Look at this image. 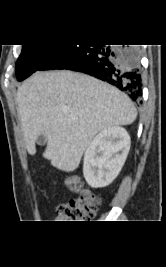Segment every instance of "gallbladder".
Masks as SVG:
<instances>
[{
  "instance_id": "obj_1",
  "label": "gallbladder",
  "mask_w": 166,
  "mask_h": 267,
  "mask_svg": "<svg viewBox=\"0 0 166 267\" xmlns=\"http://www.w3.org/2000/svg\"><path fill=\"white\" fill-rule=\"evenodd\" d=\"M36 143L40 146L45 145L46 143V135L45 134H40L37 139H36Z\"/></svg>"
}]
</instances>
